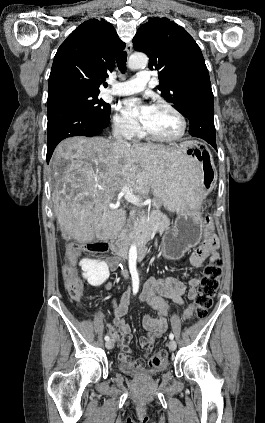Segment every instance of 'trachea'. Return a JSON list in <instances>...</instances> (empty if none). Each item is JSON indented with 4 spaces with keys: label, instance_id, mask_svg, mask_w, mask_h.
Masks as SVG:
<instances>
[{
    "label": "trachea",
    "instance_id": "trachea-1",
    "mask_svg": "<svg viewBox=\"0 0 265 423\" xmlns=\"http://www.w3.org/2000/svg\"><path fill=\"white\" fill-rule=\"evenodd\" d=\"M116 61L118 69L124 73L126 71L127 53L125 51L119 53Z\"/></svg>",
    "mask_w": 265,
    "mask_h": 423
}]
</instances>
